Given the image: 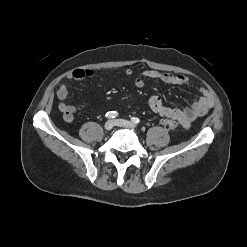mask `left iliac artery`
<instances>
[{
	"mask_svg": "<svg viewBox=\"0 0 247 247\" xmlns=\"http://www.w3.org/2000/svg\"><path fill=\"white\" fill-rule=\"evenodd\" d=\"M131 121H132L133 123H135V124L140 123V119L137 118V117H132V118H131Z\"/></svg>",
	"mask_w": 247,
	"mask_h": 247,
	"instance_id": "left-iliac-artery-1",
	"label": "left iliac artery"
}]
</instances>
